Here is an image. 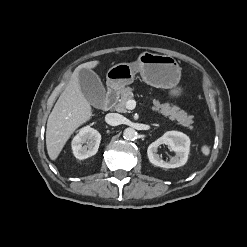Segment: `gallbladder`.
Returning a JSON list of instances; mask_svg holds the SVG:
<instances>
[{
    "label": "gallbladder",
    "instance_id": "1",
    "mask_svg": "<svg viewBox=\"0 0 247 247\" xmlns=\"http://www.w3.org/2000/svg\"><path fill=\"white\" fill-rule=\"evenodd\" d=\"M79 84L87 101L96 108L104 103L106 91L99 76L92 70L83 68L79 70Z\"/></svg>",
    "mask_w": 247,
    "mask_h": 247
}]
</instances>
